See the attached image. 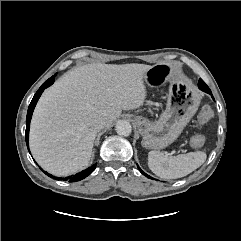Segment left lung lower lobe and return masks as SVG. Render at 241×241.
I'll return each instance as SVG.
<instances>
[{"instance_id":"obj_1","label":"left lung lower lobe","mask_w":241,"mask_h":241,"mask_svg":"<svg viewBox=\"0 0 241 241\" xmlns=\"http://www.w3.org/2000/svg\"><path fill=\"white\" fill-rule=\"evenodd\" d=\"M198 86H199V88H200L202 91H204V92L209 93L210 95H212L209 87L204 83V81H203L202 79L199 80ZM138 168H139L140 172H141L143 175H145V176H147L148 178L152 179V177H150L149 175H147L146 173H144V172L140 169L139 166H138Z\"/></svg>"}]
</instances>
